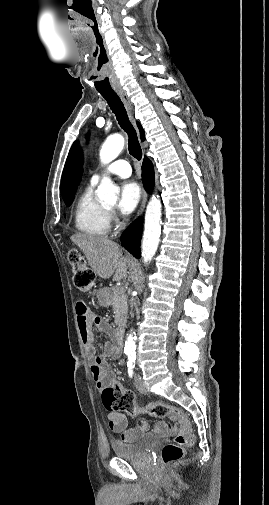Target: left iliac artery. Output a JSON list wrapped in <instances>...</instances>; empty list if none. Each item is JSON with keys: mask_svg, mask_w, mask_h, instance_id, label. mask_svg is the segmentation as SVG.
<instances>
[{"mask_svg": "<svg viewBox=\"0 0 269 505\" xmlns=\"http://www.w3.org/2000/svg\"><path fill=\"white\" fill-rule=\"evenodd\" d=\"M135 359H136L135 353L128 354L127 367H128V375L131 378H132L133 373H134Z\"/></svg>", "mask_w": 269, "mask_h": 505, "instance_id": "1", "label": "left iliac artery"}]
</instances>
